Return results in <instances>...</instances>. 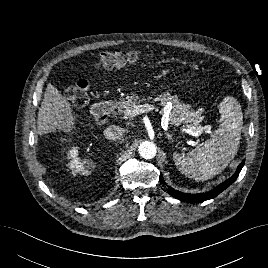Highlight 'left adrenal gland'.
<instances>
[{"label":"left adrenal gland","instance_id":"1","mask_svg":"<svg viewBox=\"0 0 268 268\" xmlns=\"http://www.w3.org/2000/svg\"><path fill=\"white\" fill-rule=\"evenodd\" d=\"M166 136H167V138H168V140H171V141H175L173 138H172V135L171 134H169V133H166Z\"/></svg>","mask_w":268,"mask_h":268}]
</instances>
